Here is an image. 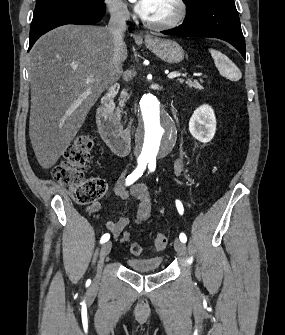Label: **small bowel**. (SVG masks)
I'll return each mask as SVG.
<instances>
[{
    "mask_svg": "<svg viewBox=\"0 0 285 335\" xmlns=\"http://www.w3.org/2000/svg\"><path fill=\"white\" fill-rule=\"evenodd\" d=\"M184 169V163L182 160H178L175 164V171L177 174H180ZM128 177V176H127ZM126 175L122 174V176L117 181L114 187L115 198L118 200H128L130 197H134L138 202V208L135 217V223L137 225H141L146 222L152 212L151 206V198L147 187L138 183L132 186L131 190H127L125 187ZM100 209V204L98 202H94L86 208V211L90 214L97 212ZM129 224V218L126 216H120L115 220L108 221L106 223V229L111 232V234L115 237H118L122 231Z\"/></svg>",
    "mask_w": 285,
    "mask_h": 335,
    "instance_id": "obj_1",
    "label": "small bowel"
}]
</instances>
